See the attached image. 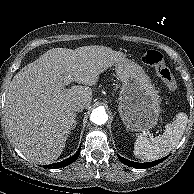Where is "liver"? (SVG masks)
<instances>
[{
  "label": "liver",
  "instance_id": "1",
  "mask_svg": "<svg viewBox=\"0 0 194 194\" xmlns=\"http://www.w3.org/2000/svg\"><path fill=\"white\" fill-rule=\"evenodd\" d=\"M124 59L122 52L105 46L53 48L23 67L11 81L4 106L6 129L15 147L35 163L56 160L76 122L74 104L88 108L89 86ZM72 81L79 85L66 89Z\"/></svg>",
  "mask_w": 194,
  "mask_h": 194
}]
</instances>
